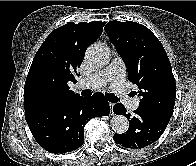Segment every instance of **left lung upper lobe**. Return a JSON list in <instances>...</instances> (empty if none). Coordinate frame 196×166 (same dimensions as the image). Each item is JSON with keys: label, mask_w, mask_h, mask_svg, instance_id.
I'll list each match as a JSON object with an SVG mask.
<instances>
[{"label": "left lung upper lobe", "mask_w": 196, "mask_h": 166, "mask_svg": "<svg viewBox=\"0 0 196 166\" xmlns=\"http://www.w3.org/2000/svg\"><path fill=\"white\" fill-rule=\"evenodd\" d=\"M105 30L124 60L129 80L139 88V108L171 117L176 83L169 58L157 37L136 22L110 21Z\"/></svg>", "instance_id": "obj_1"}]
</instances>
